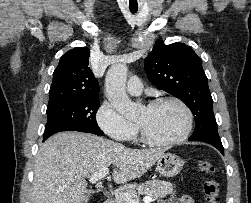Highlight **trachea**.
<instances>
[{
    "label": "trachea",
    "instance_id": "obj_1",
    "mask_svg": "<svg viewBox=\"0 0 251 203\" xmlns=\"http://www.w3.org/2000/svg\"><path fill=\"white\" fill-rule=\"evenodd\" d=\"M131 12L134 14V13H136V12H137V10H131Z\"/></svg>",
    "mask_w": 251,
    "mask_h": 203
}]
</instances>
